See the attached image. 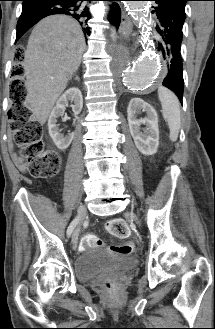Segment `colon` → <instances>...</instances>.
I'll return each mask as SVG.
<instances>
[{
  "label": "colon",
  "instance_id": "5ec220e1",
  "mask_svg": "<svg viewBox=\"0 0 215 329\" xmlns=\"http://www.w3.org/2000/svg\"><path fill=\"white\" fill-rule=\"evenodd\" d=\"M13 62H26V55H13ZM11 73H22V66H11ZM10 98L12 108L9 111V120L16 144L20 147L19 156L23 160L30 175L35 178L51 179L60 169V157L47 149L42 141L43 129L41 124L33 117L26 105L27 89L21 79L14 78L10 83ZM109 234L116 238L126 239L130 230L127 223L120 218L112 219L107 224ZM101 247L103 242L94 235H86L81 242V248ZM120 254H130L133 250V243L126 242L115 248ZM115 281L109 279L107 287L112 288Z\"/></svg>",
  "mask_w": 215,
  "mask_h": 329
}]
</instances>
